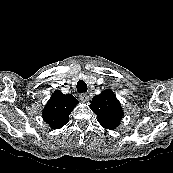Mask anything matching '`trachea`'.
Segmentation results:
<instances>
[{
	"instance_id": "1",
	"label": "trachea",
	"mask_w": 173,
	"mask_h": 173,
	"mask_svg": "<svg viewBox=\"0 0 173 173\" xmlns=\"http://www.w3.org/2000/svg\"><path fill=\"white\" fill-rule=\"evenodd\" d=\"M76 87L79 93H85L87 91V84L83 80L78 81Z\"/></svg>"
}]
</instances>
